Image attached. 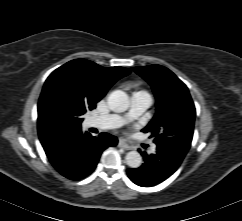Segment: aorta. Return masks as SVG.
<instances>
[{"instance_id":"obj_1","label":"aorta","mask_w":242,"mask_h":221,"mask_svg":"<svg viewBox=\"0 0 242 221\" xmlns=\"http://www.w3.org/2000/svg\"><path fill=\"white\" fill-rule=\"evenodd\" d=\"M107 103L110 110L120 113L128 109L130 101L125 92L116 90L108 96ZM125 162L131 168H138L142 164V157L137 151H130L126 154Z\"/></svg>"}]
</instances>
